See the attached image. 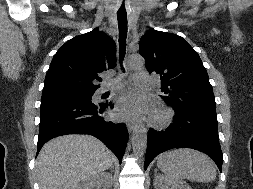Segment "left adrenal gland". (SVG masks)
Listing matches in <instances>:
<instances>
[{"instance_id":"obj_1","label":"left adrenal gland","mask_w":253,"mask_h":189,"mask_svg":"<svg viewBox=\"0 0 253 189\" xmlns=\"http://www.w3.org/2000/svg\"><path fill=\"white\" fill-rule=\"evenodd\" d=\"M157 174V169H155V175Z\"/></svg>"}]
</instances>
